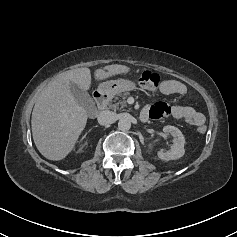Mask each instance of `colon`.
I'll return each mask as SVG.
<instances>
[{
    "label": "colon",
    "instance_id": "obj_1",
    "mask_svg": "<svg viewBox=\"0 0 237 237\" xmlns=\"http://www.w3.org/2000/svg\"><path fill=\"white\" fill-rule=\"evenodd\" d=\"M138 83L140 86L146 90H156L160 85V76L159 74L145 70L141 73L138 78ZM206 130L205 126H200L198 131L204 133Z\"/></svg>",
    "mask_w": 237,
    "mask_h": 237
}]
</instances>
